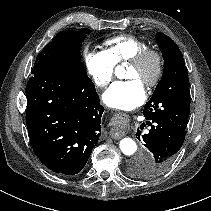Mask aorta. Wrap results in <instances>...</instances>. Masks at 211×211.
I'll return each mask as SVG.
<instances>
[{
  "label": "aorta",
  "mask_w": 211,
  "mask_h": 211,
  "mask_svg": "<svg viewBox=\"0 0 211 211\" xmlns=\"http://www.w3.org/2000/svg\"><path fill=\"white\" fill-rule=\"evenodd\" d=\"M120 149L126 156H131L137 151V145L131 138L125 137L120 141Z\"/></svg>",
  "instance_id": "1"
}]
</instances>
